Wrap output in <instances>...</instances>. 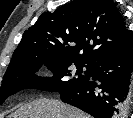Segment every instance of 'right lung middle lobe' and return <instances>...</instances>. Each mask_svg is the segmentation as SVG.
I'll return each mask as SVG.
<instances>
[{"mask_svg":"<svg viewBox=\"0 0 133 118\" xmlns=\"http://www.w3.org/2000/svg\"><path fill=\"white\" fill-rule=\"evenodd\" d=\"M42 66H47L53 76H37L36 72ZM84 67L87 69L85 76L81 74ZM90 71L91 67L83 63L55 58L39 60L19 68L7 69L0 88V103H3L10 95L27 88L64 92L86 83L89 80Z\"/></svg>","mask_w":133,"mask_h":118,"instance_id":"1","label":"right lung middle lobe"}]
</instances>
